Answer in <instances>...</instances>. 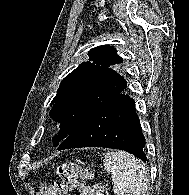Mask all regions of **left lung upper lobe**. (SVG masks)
<instances>
[{"mask_svg": "<svg viewBox=\"0 0 189 195\" xmlns=\"http://www.w3.org/2000/svg\"><path fill=\"white\" fill-rule=\"evenodd\" d=\"M88 55L92 62H83L68 74L51 102L53 107L49 115L60 123L59 135L53 138L54 146H58L60 140L64 141L107 100L126 88V80L109 68L122 62L115 48L98 46Z\"/></svg>", "mask_w": 189, "mask_h": 195, "instance_id": "1", "label": "left lung upper lobe"}]
</instances>
